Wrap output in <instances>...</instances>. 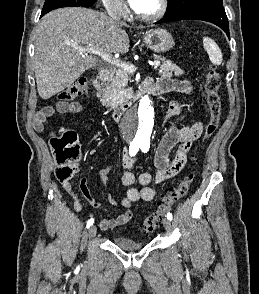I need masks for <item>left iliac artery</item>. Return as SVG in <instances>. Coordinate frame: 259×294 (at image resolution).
Segmentation results:
<instances>
[{
  "instance_id": "obj_1",
  "label": "left iliac artery",
  "mask_w": 259,
  "mask_h": 294,
  "mask_svg": "<svg viewBox=\"0 0 259 294\" xmlns=\"http://www.w3.org/2000/svg\"><path fill=\"white\" fill-rule=\"evenodd\" d=\"M149 147H150V143H146V142H143L140 144V148L142 150V152L146 153L148 150H149ZM167 218L171 221L173 219V216L172 214L169 212L167 213Z\"/></svg>"
}]
</instances>
